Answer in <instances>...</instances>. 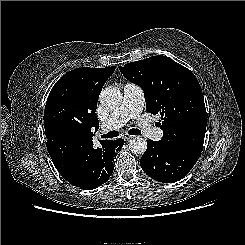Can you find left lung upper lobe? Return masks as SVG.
Here are the masks:
<instances>
[{"label": "left lung upper lobe", "instance_id": "obj_1", "mask_svg": "<svg viewBox=\"0 0 245 245\" xmlns=\"http://www.w3.org/2000/svg\"><path fill=\"white\" fill-rule=\"evenodd\" d=\"M129 81L144 91L146 110L161 116L164 145L202 151L206 109L195 75L166 56H153L119 66Z\"/></svg>", "mask_w": 245, "mask_h": 245}]
</instances>
